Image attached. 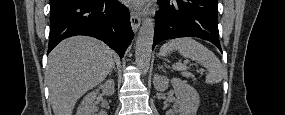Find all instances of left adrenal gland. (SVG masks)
<instances>
[{"label":"left adrenal gland","mask_w":285,"mask_h":115,"mask_svg":"<svg viewBox=\"0 0 285 115\" xmlns=\"http://www.w3.org/2000/svg\"><path fill=\"white\" fill-rule=\"evenodd\" d=\"M159 68L163 69V66H159Z\"/></svg>","instance_id":"1"}]
</instances>
